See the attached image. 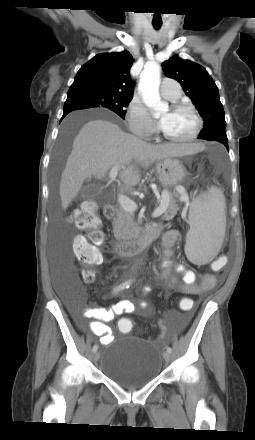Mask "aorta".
Returning <instances> with one entry per match:
<instances>
[{
  "label": "aorta",
  "mask_w": 255,
  "mask_h": 440,
  "mask_svg": "<svg viewBox=\"0 0 255 440\" xmlns=\"http://www.w3.org/2000/svg\"><path fill=\"white\" fill-rule=\"evenodd\" d=\"M161 67L158 63H148L140 74L138 90L145 105L156 113L168 110V104L161 100L159 94Z\"/></svg>",
  "instance_id": "1"
}]
</instances>
